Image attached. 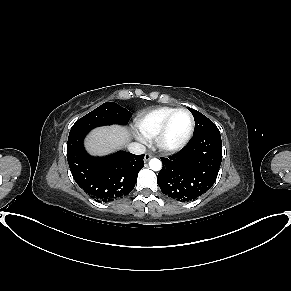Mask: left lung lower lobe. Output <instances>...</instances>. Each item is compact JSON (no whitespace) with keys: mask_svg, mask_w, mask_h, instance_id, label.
<instances>
[{"mask_svg":"<svg viewBox=\"0 0 291 291\" xmlns=\"http://www.w3.org/2000/svg\"><path fill=\"white\" fill-rule=\"evenodd\" d=\"M157 176L161 191L178 201H192L216 181L222 161V141L218 129L193 136L180 152L161 158Z\"/></svg>","mask_w":291,"mask_h":291,"instance_id":"obj_1","label":"left lung lower lobe"}]
</instances>
